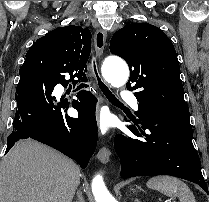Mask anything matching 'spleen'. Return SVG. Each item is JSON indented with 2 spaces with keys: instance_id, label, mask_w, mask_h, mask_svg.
I'll use <instances>...</instances> for the list:
<instances>
[{
  "instance_id": "obj_1",
  "label": "spleen",
  "mask_w": 209,
  "mask_h": 202,
  "mask_svg": "<svg viewBox=\"0 0 209 202\" xmlns=\"http://www.w3.org/2000/svg\"><path fill=\"white\" fill-rule=\"evenodd\" d=\"M146 186L160 191L167 196L177 197L180 202H196L189 187L181 180L171 176H156L150 178Z\"/></svg>"
}]
</instances>
